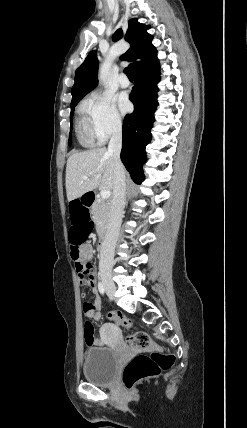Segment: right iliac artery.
<instances>
[{
  "instance_id": "right-iliac-artery-1",
  "label": "right iliac artery",
  "mask_w": 247,
  "mask_h": 428,
  "mask_svg": "<svg viewBox=\"0 0 247 428\" xmlns=\"http://www.w3.org/2000/svg\"><path fill=\"white\" fill-rule=\"evenodd\" d=\"M98 290H99V292L102 295H104V293H105V287H104V285H103V283L101 281L98 282Z\"/></svg>"
}]
</instances>
